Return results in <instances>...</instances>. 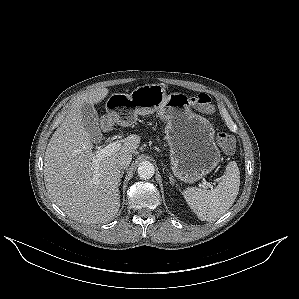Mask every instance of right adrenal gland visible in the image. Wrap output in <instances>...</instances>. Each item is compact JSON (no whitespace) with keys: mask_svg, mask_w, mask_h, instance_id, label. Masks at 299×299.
<instances>
[{"mask_svg":"<svg viewBox=\"0 0 299 299\" xmlns=\"http://www.w3.org/2000/svg\"><path fill=\"white\" fill-rule=\"evenodd\" d=\"M123 174H124V171H121V174H120V179H119L118 186H120V185H121V178L123 177Z\"/></svg>","mask_w":299,"mask_h":299,"instance_id":"2a0ac1e0","label":"right adrenal gland"}]
</instances>
